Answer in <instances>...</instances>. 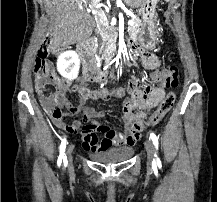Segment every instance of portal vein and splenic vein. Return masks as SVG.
I'll return each mask as SVG.
<instances>
[{"mask_svg": "<svg viewBox=\"0 0 217 202\" xmlns=\"http://www.w3.org/2000/svg\"><path fill=\"white\" fill-rule=\"evenodd\" d=\"M92 2H93V0H92ZM96 2H101V0H94V4H96ZM126 14H132V12H129V10H128V12H126ZM134 24H136V22H134V18H133V20H129L128 26H134ZM110 26H115V24H112V22H111Z\"/></svg>", "mask_w": 217, "mask_h": 202, "instance_id": "portal-vein-and-splenic-vein-1", "label": "portal vein and splenic vein"}]
</instances>
